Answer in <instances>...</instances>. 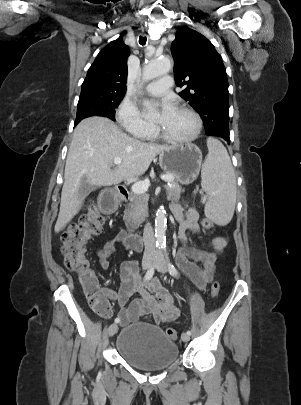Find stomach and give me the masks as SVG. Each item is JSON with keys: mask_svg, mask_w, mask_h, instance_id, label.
<instances>
[{"mask_svg": "<svg viewBox=\"0 0 301 405\" xmlns=\"http://www.w3.org/2000/svg\"><path fill=\"white\" fill-rule=\"evenodd\" d=\"M160 167L183 185L193 183L202 166V152L193 143L179 144L159 154Z\"/></svg>", "mask_w": 301, "mask_h": 405, "instance_id": "obj_1", "label": "stomach"}]
</instances>
